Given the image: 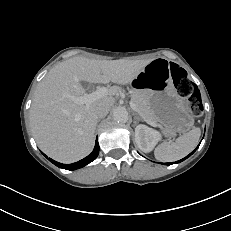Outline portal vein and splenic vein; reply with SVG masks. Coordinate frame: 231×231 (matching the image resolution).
Masks as SVG:
<instances>
[{
  "label": "portal vein and splenic vein",
  "instance_id": "1",
  "mask_svg": "<svg viewBox=\"0 0 231 231\" xmlns=\"http://www.w3.org/2000/svg\"><path fill=\"white\" fill-rule=\"evenodd\" d=\"M108 94V89L106 87H101L99 89H97L95 92H92L91 94H86V95H83V96H71V99L76 103V104H86V105H89L91 102L93 101H96L104 96H106ZM130 105L132 107V109L134 111H136L137 113L140 114L136 104H134L133 102H130ZM141 115V114H140ZM145 119V118H144ZM145 121L156 127V126H159L157 123L153 122V121H148L145 119Z\"/></svg>",
  "mask_w": 231,
  "mask_h": 231
}]
</instances>
